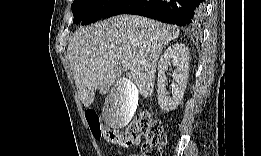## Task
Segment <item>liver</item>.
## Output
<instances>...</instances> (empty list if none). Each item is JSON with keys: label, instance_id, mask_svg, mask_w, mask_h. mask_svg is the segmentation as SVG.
Here are the masks:
<instances>
[{"label": "liver", "instance_id": "liver-1", "mask_svg": "<svg viewBox=\"0 0 261 156\" xmlns=\"http://www.w3.org/2000/svg\"><path fill=\"white\" fill-rule=\"evenodd\" d=\"M177 27L136 15H119L90 27H81L69 40L67 56L74 76L78 95L86 108L95 100L100 87H109L121 76L130 64L126 77L143 97L153 94L157 61L163 48L177 38ZM120 97L119 88H114L107 100ZM128 108L120 109L118 125L126 126L134 114V106L127 99Z\"/></svg>", "mask_w": 261, "mask_h": 156}]
</instances>
